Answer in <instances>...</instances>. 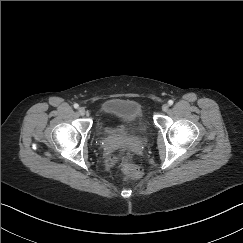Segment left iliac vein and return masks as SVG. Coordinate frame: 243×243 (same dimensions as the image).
Returning <instances> with one entry per match:
<instances>
[{
	"label": "left iliac vein",
	"instance_id": "obj_1",
	"mask_svg": "<svg viewBox=\"0 0 243 243\" xmlns=\"http://www.w3.org/2000/svg\"><path fill=\"white\" fill-rule=\"evenodd\" d=\"M169 109V105L168 104H163L162 105V111L166 112Z\"/></svg>",
	"mask_w": 243,
	"mask_h": 243
}]
</instances>
